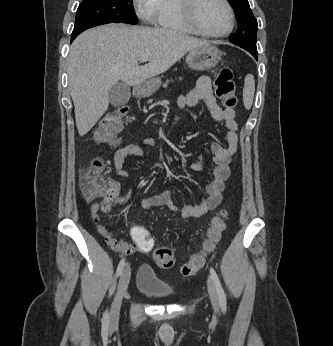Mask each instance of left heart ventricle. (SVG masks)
<instances>
[{
    "mask_svg": "<svg viewBox=\"0 0 333 346\" xmlns=\"http://www.w3.org/2000/svg\"><path fill=\"white\" fill-rule=\"evenodd\" d=\"M197 17L202 27L211 33H221L229 26V14L221 0H200Z\"/></svg>",
    "mask_w": 333,
    "mask_h": 346,
    "instance_id": "b2bd125f",
    "label": "left heart ventricle"
}]
</instances>
